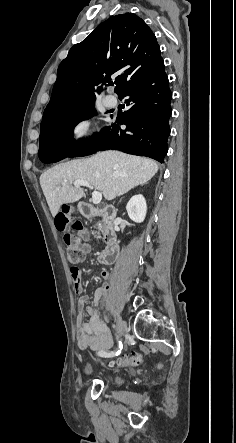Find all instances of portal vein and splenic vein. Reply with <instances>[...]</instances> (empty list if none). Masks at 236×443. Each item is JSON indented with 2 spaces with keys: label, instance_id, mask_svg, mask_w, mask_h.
<instances>
[{
  "label": "portal vein and splenic vein",
  "instance_id": "1",
  "mask_svg": "<svg viewBox=\"0 0 236 443\" xmlns=\"http://www.w3.org/2000/svg\"><path fill=\"white\" fill-rule=\"evenodd\" d=\"M73 185L76 188H80V186H85V187H88L89 189H93V186L89 182L84 181V180H76L73 182ZM101 200H102V194L100 192L93 191L92 192L93 204H99L101 202Z\"/></svg>",
  "mask_w": 236,
  "mask_h": 443
}]
</instances>
